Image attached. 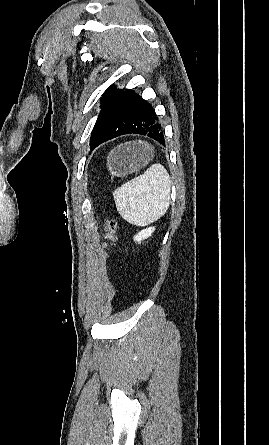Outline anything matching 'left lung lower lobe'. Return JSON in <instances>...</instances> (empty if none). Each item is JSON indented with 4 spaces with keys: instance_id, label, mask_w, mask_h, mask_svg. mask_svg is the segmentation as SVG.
<instances>
[{
    "instance_id": "1",
    "label": "left lung lower lobe",
    "mask_w": 269,
    "mask_h": 445,
    "mask_svg": "<svg viewBox=\"0 0 269 445\" xmlns=\"http://www.w3.org/2000/svg\"><path fill=\"white\" fill-rule=\"evenodd\" d=\"M124 134L146 135L165 145L163 127L152 105L130 89L123 91L120 101L91 149Z\"/></svg>"
}]
</instances>
